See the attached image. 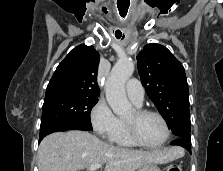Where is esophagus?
<instances>
[{"label":"esophagus","instance_id":"34e87169","mask_svg":"<svg viewBox=\"0 0 223 171\" xmlns=\"http://www.w3.org/2000/svg\"><path fill=\"white\" fill-rule=\"evenodd\" d=\"M119 11L122 15H125V13H126V11H122L121 9H119Z\"/></svg>","mask_w":223,"mask_h":171}]
</instances>
